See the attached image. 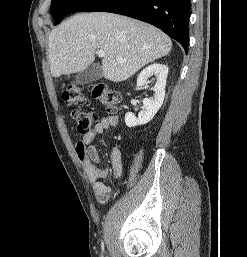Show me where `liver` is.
<instances>
[{
	"label": "liver",
	"instance_id": "obj_1",
	"mask_svg": "<svg viewBox=\"0 0 247 257\" xmlns=\"http://www.w3.org/2000/svg\"><path fill=\"white\" fill-rule=\"evenodd\" d=\"M171 49V39L160 29L103 12L70 17L51 31L48 42L53 77L83 71L95 60L96 51L103 50V76L113 82L125 81Z\"/></svg>",
	"mask_w": 247,
	"mask_h": 257
}]
</instances>
